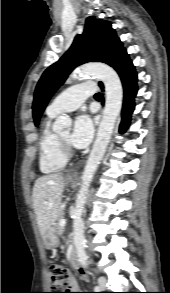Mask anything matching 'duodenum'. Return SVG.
<instances>
[{"instance_id": "1", "label": "duodenum", "mask_w": 170, "mask_h": 293, "mask_svg": "<svg viewBox=\"0 0 170 293\" xmlns=\"http://www.w3.org/2000/svg\"><path fill=\"white\" fill-rule=\"evenodd\" d=\"M71 262H72V265L74 268L76 269H80V264H79V261L75 255V253H72L71 254Z\"/></svg>"}]
</instances>
